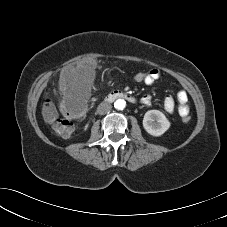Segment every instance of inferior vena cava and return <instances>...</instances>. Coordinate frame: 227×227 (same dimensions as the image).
Wrapping results in <instances>:
<instances>
[{
    "label": "inferior vena cava",
    "instance_id": "1",
    "mask_svg": "<svg viewBox=\"0 0 227 227\" xmlns=\"http://www.w3.org/2000/svg\"><path fill=\"white\" fill-rule=\"evenodd\" d=\"M111 109H112L111 104H109L107 102H102L98 105L97 113L99 115H104V114L109 113L111 111Z\"/></svg>",
    "mask_w": 227,
    "mask_h": 227
}]
</instances>
